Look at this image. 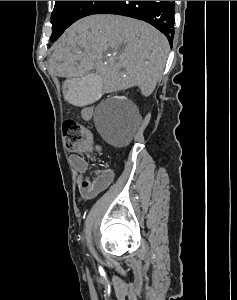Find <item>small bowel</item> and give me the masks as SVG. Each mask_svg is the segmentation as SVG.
Segmentation results:
<instances>
[{"label": "small bowel", "mask_w": 237, "mask_h": 300, "mask_svg": "<svg viewBox=\"0 0 237 300\" xmlns=\"http://www.w3.org/2000/svg\"><path fill=\"white\" fill-rule=\"evenodd\" d=\"M92 114V106H85L81 111V116L84 120H89ZM70 161L78 172L77 189L81 202L95 197L107 189L114 180L115 174L110 168L100 169L95 177H90L86 175L90 167L84 158L79 155H71Z\"/></svg>", "instance_id": "c3829d8e"}]
</instances>
